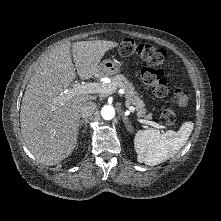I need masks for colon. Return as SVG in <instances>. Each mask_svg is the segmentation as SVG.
<instances>
[{
    "label": "colon",
    "instance_id": "1",
    "mask_svg": "<svg viewBox=\"0 0 221 221\" xmlns=\"http://www.w3.org/2000/svg\"><path fill=\"white\" fill-rule=\"evenodd\" d=\"M119 53L122 56L137 55L147 66L142 70V79L151 87L154 94L164 97L168 93L167 80L164 77L162 66L165 62L166 52L151 44L136 43L132 39H124L119 46ZM188 101L187 94L180 88L174 90L172 102L182 107ZM161 121L166 126H173L177 123V116L172 109H166L161 115Z\"/></svg>",
    "mask_w": 221,
    "mask_h": 221
}]
</instances>
